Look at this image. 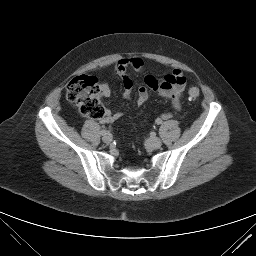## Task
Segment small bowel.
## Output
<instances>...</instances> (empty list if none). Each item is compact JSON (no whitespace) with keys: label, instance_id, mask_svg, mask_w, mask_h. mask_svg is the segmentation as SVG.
<instances>
[{"label":"small bowel","instance_id":"1","mask_svg":"<svg viewBox=\"0 0 256 256\" xmlns=\"http://www.w3.org/2000/svg\"><path fill=\"white\" fill-rule=\"evenodd\" d=\"M133 69L136 72L144 70V61L141 58L131 57L124 58L118 61L115 67V72L122 78L125 99L129 100L132 95L133 82L128 76V70ZM186 88V78L179 70H173L161 79H157L152 75L145 77V85L141 86L137 91V104L143 105L149 96V91H157L159 96L171 102L174 109H180V100ZM101 95L109 97L111 95L110 86L103 82L101 84ZM122 117L121 113H112L106 111L105 116L102 118V123H111Z\"/></svg>","mask_w":256,"mask_h":256}]
</instances>
